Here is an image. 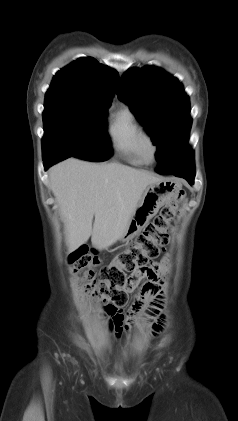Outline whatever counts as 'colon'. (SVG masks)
I'll use <instances>...</instances> for the list:
<instances>
[{"instance_id": "1", "label": "colon", "mask_w": 238, "mask_h": 421, "mask_svg": "<svg viewBox=\"0 0 238 421\" xmlns=\"http://www.w3.org/2000/svg\"><path fill=\"white\" fill-rule=\"evenodd\" d=\"M183 197L184 192H180L171 203L161 209L159 215L135 241L129 243L109 264L100 269L99 259L90 254L85 247L72 253L74 271L97 286L93 295L107 304L108 313L125 304L127 292L133 289L132 274L149 266L167 246Z\"/></svg>"}]
</instances>
